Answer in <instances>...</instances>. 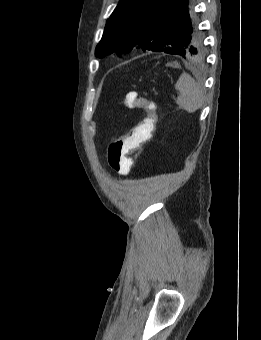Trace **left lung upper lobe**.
<instances>
[{"instance_id": "left-lung-upper-lobe-1", "label": "left lung upper lobe", "mask_w": 261, "mask_h": 340, "mask_svg": "<svg viewBox=\"0 0 261 340\" xmlns=\"http://www.w3.org/2000/svg\"><path fill=\"white\" fill-rule=\"evenodd\" d=\"M165 0H120L107 20L95 54L127 53L134 47L165 52L186 59L204 55L203 35L194 8L171 20L161 10Z\"/></svg>"}]
</instances>
